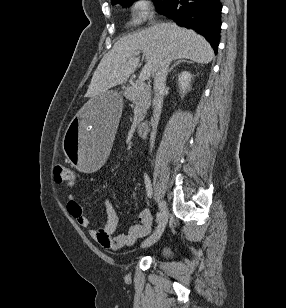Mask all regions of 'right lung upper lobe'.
Masks as SVG:
<instances>
[{"instance_id": "obj_1", "label": "right lung upper lobe", "mask_w": 286, "mask_h": 308, "mask_svg": "<svg viewBox=\"0 0 286 308\" xmlns=\"http://www.w3.org/2000/svg\"><path fill=\"white\" fill-rule=\"evenodd\" d=\"M111 1H112V3H113V2H115L116 0H111Z\"/></svg>"}]
</instances>
